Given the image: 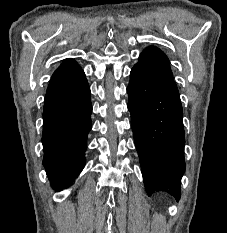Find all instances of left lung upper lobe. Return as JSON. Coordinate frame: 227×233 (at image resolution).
Listing matches in <instances>:
<instances>
[{
	"label": "left lung upper lobe",
	"mask_w": 227,
	"mask_h": 233,
	"mask_svg": "<svg viewBox=\"0 0 227 233\" xmlns=\"http://www.w3.org/2000/svg\"><path fill=\"white\" fill-rule=\"evenodd\" d=\"M136 67L144 68L156 75L173 80V74L170 69V63L167 56L157 47L150 46L146 48L139 57Z\"/></svg>",
	"instance_id": "obj_1"
}]
</instances>
